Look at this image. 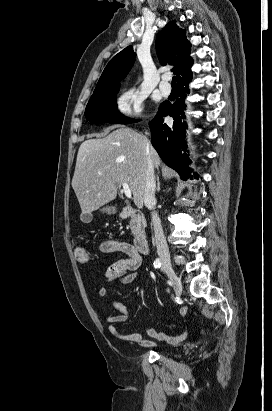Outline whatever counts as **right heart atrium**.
Returning <instances> with one entry per match:
<instances>
[{
  "label": "right heart atrium",
  "instance_id": "d8ad5b80",
  "mask_svg": "<svg viewBox=\"0 0 272 411\" xmlns=\"http://www.w3.org/2000/svg\"><path fill=\"white\" fill-rule=\"evenodd\" d=\"M144 97L134 88L124 90L116 101V109L122 116L140 118L143 116Z\"/></svg>",
  "mask_w": 272,
  "mask_h": 411
}]
</instances>
